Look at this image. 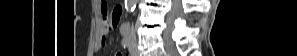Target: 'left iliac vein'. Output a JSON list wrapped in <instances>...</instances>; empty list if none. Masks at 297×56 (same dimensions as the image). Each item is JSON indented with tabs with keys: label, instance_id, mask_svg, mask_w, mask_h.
Instances as JSON below:
<instances>
[{
	"label": "left iliac vein",
	"instance_id": "left-iliac-vein-1",
	"mask_svg": "<svg viewBox=\"0 0 297 56\" xmlns=\"http://www.w3.org/2000/svg\"><path fill=\"white\" fill-rule=\"evenodd\" d=\"M129 50L132 56H138V50L135 43L129 44Z\"/></svg>",
	"mask_w": 297,
	"mask_h": 56
}]
</instances>
